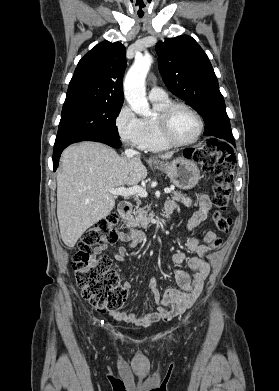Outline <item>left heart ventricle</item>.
<instances>
[{
	"label": "left heart ventricle",
	"mask_w": 279,
	"mask_h": 391,
	"mask_svg": "<svg viewBox=\"0 0 279 391\" xmlns=\"http://www.w3.org/2000/svg\"><path fill=\"white\" fill-rule=\"evenodd\" d=\"M199 128L196 117L185 108L175 110L171 119V130L173 137L178 141L192 139Z\"/></svg>",
	"instance_id": "left-heart-ventricle-1"
}]
</instances>
